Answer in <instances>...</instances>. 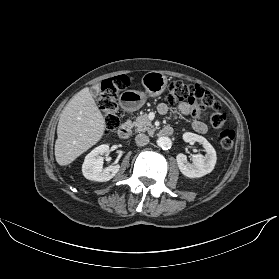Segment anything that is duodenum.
Segmentation results:
<instances>
[{
	"instance_id": "1",
	"label": "duodenum",
	"mask_w": 279,
	"mask_h": 279,
	"mask_svg": "<svg viewBox=\"0 0 279 279\" xmlns=\"http://www.w3.org/2000/svg\"><path fill=\"white\" fill-rule=\"evenodd\" d=\"M117 134L121 139H127L131 134L130 125L128 123H123L119 127ZM172 134H173V129L170 126L163 127L159 132V135L161 137H168V136H171Z\"/></svg>"
}]
</instances>
